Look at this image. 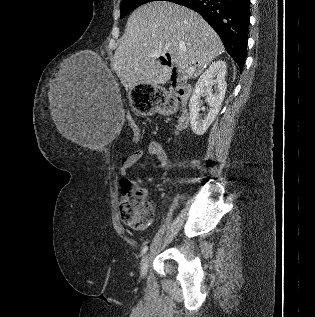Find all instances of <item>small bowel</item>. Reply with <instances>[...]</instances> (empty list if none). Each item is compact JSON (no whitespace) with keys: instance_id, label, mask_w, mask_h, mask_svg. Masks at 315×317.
Masks as SVG:
<instances>
[{"instance_id":"c3829d8e","label":"small bowel","mask_w":315,"mask_h":317,"mask_svg":"<svg viewBox=\"0 0 315 317\" xmlns=\"http://www.w3.org/2000/svg\"><path fill=\"white\" fill-rule=\"evenodd\" d=\"M148 152L159 163V168H164L165 166H167V154L160 142L156 140H151L148 144ZM143 153V149L136 148L123 158L120 164L121 182L125 179H129V169H131L138 162Z\"/></svg>"}]
</instances>
